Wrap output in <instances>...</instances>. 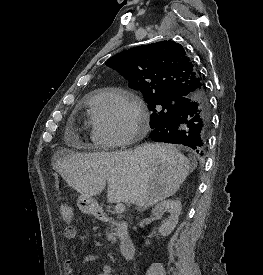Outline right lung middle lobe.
<instances>
[{
  "instance_id": "dd1d6c3e",
  "label": "right lung middle lobe",
  "mask_w": 263,
  "mask_h": 275,
  "mask_svg": "<svg viewBox=\"0 0 263 275\" xmlns=\"http://www.w3.org/2000/svg\"><path fill=\"white\" fill-rule=\"evenodd\" d=\"M144 100L151 111V128H155L162 121L177 114L189 102L188 99L154 96H145Z\"/></svg>"
}]
</instances>
